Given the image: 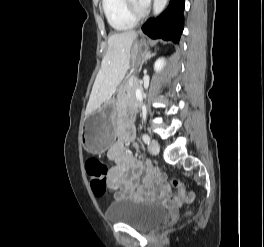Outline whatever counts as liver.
Masks as SVG:
<instances>
[{
    "mask_svg": "<svg viewBox=\"0 0 264 247\" xmlns=\"http://www.w3.org/2000/svg\"><path fill=\"white\" fill-rule=\"evenodd\" d=\"M136 37L135 31H125L109 36L108 49L86 108L87 115L98 109L124 78L129 68L131 46Z\"/></svg>",
    "mask_w": 264,
    "mask_h": 247,
    "instance_id": "1",
    "label": "liver"
}]
</instances>
